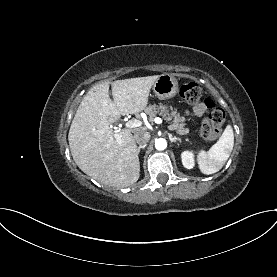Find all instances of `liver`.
<instances>
[{
    "label": "liver",
    "instance_id": "obj_1",
    "mask_svg": "<svg viewBox=\"0 0 277 277\" xmlns=\"http://www.w3.org/2000/svg\"><path fill=\"white\" fill-rule=\"evenodd\" d=\"M158 77L104 82L85 95L68 134L72 157L85 174L117 188L137 182L140 163L136 141L129 129L114 132L109 125L121 115L143 111ZM110 85L114 101L109 97Z\"/></svg>",
    "mask_w": 277,
    "mask_h": 277
}]
</instances>
